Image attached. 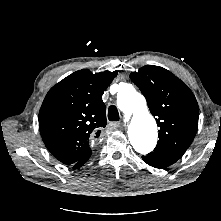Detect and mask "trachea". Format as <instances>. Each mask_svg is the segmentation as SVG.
<instances>
[{
	"mask_svg": "<svg viewBox=\"0 0 221 221\" xmlns=\"http://www.w3.org/2000/svg\"><path fill=\"white\" fill-rule=\"evenodd\" d=\"M119 112L115 106H110L108 109V119L110 121H119Z\"/></svg>",
	"mask_w": 221,
	"mask_h": 221,
	"instance_id": "1",
	"label": "trachea"
}]
</instances>
